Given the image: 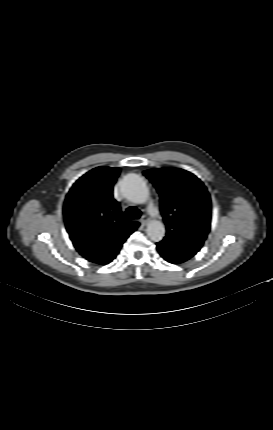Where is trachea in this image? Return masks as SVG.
Listing matches in <instances>:
<instances>
[{
    "label": "trachea",
    "instance_id": "trachea-1",
    "mask_svg": "<svg viewBox=\"0 0 273 430\" xmlns=\"http://www.w3.org/2000/svg\"><path fill=\"white\" fill-rule=\"evenodd\" d=\"M140 217H141V211L133 206L127 208L124 214L125 220H134V219H139Z\"/></svg>",
    "mask_w": 273,
    "mask_h": 430
}]
</instances>
